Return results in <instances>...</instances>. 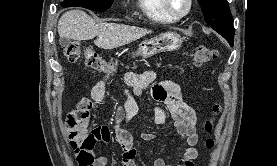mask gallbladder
I'll return each mask as SVG.
<instances>
[{
	"label": "gallbladder",
	"instance_id": "obj_1",
	"mask_svg": "<svg viewBox=\"0 0 277 166\" xmlns=\"http://www.w3.org/2000/svg\"><path fill=\"white\" fill-rule=\"evenodd\" d=\"M69 42L70 41L66 38H60V40H59L60 45L63 47H67L69 45Z\"/></svg>",
	"mask_w": 277,
	"mask_h": 166
}]
</instances>
